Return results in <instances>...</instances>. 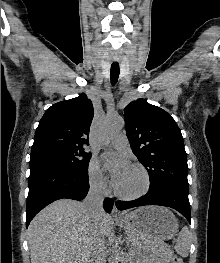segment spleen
<instances>
[{
  "label": "spleen",
  "mask_w": 220,
  "mask_h": 263,
  "mask_svg": "<svg viewBox=\"0 0 220 263\" xmlns=\"http://www.w3.org/2000/svg\"><path fill=\"white\" fill-rule=\"evenodd\" d=\"M190 247V232L186 226H184L179 234V238L175 245V250L178 254L185 257L188 255Z\"/></svg>",
  "instance_id": "3e777b00"
}]
</instances>
